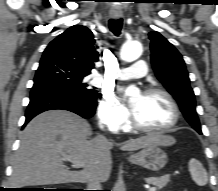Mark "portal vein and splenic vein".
Instances as JSON below:
<instances>
[{
	"instance_id": "portal-vein-and-splenic-vein-1",
	"label": "portal vein and splenic vein",
	"mask_w": 218,
	"mask_h": 191,
	"mask_svg": "<svg viewBox=\"0 0 218 191\" xmlns=\"http://www.w3.org/2000/svg\"><path fill=\"white\" fill-rule=\"evenodd\" d=\"M62 157L64 159H67L68 161L72 162L73 163V166L76 167V168H83L85 166V163L70 156V155H67L65 153L62 154ZM148 191H156V187H150L148 189Z\"/></svg>"
}]
</instances>
